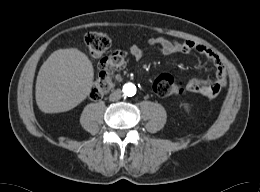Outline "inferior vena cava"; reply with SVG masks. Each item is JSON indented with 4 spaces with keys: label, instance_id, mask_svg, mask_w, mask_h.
Returning <instances> with one entry per match:
<instances>
[{
    "label": "inferior vena cava",
    "instance_id": "602c4592",
    "mask_svg": "<svg viewBox=\"0 0 260 192\" xmlns=\"http://www.w3.org/2000/svg\"><path fill=\"white\" fill-rule=\"evenodd\" d=\"M121 98V90L117 89L114 92H112L109 96L110 101H117Z\"/></svg>",
    "mask_w": 260,
    "mask_h": 192
}]
</instances>
